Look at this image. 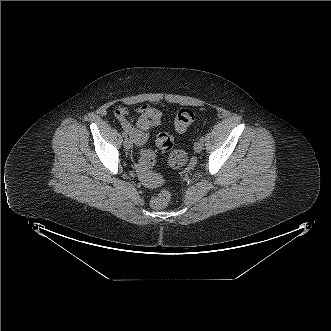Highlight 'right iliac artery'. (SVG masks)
Listing matches in <instances>:
<instances>
[{"label": "right iliac artery", "mask_w": 331, "mask_h": 331, "mask_svg": "<svg viewBox=\"0 0 331 331\" xmlns=\"http://www.w3.org/2000/svg\"><path fill=\"white\" fill-rule=\"evenodd\" d=\"M122 135L124 138H127V133L123 132Z\"/></svg>", "instance_id": "82829eb1"}]
</instances>
